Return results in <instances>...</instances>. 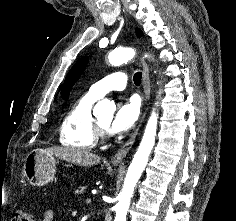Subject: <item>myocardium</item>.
I'll return each instance as SVG.
<instances>
[{
  "label": "myocardium",
  "mask_w": 236,
  "mask_h": 221,
  "mask_svg": "<svg viewBox=\"0 0 236 221\" xmlns=\"http://www.w3.org/2000/svg\"><path fill=\"white\" fill-rule=\"evenodd\" d=\"M94 128L97 138L104 137L106 134V128L103 127L97 119L94 118Z\"/></svg>",
  "instance_id": "myocardium-1"
}]
</instances>
